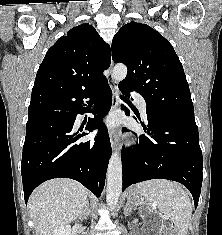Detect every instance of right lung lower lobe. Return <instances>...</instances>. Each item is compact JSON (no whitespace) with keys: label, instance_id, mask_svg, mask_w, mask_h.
Returning a JSON list of instances; mask_svg holds the SVG:
<instances>
[{"label":"right lung lower lobe","instance_id":"1","mask_svg":"<svg viewBox=\"0 0 222 235\" xmlns=\"http://www.w3.org/2000/svg\"><path fill=\"white\" fill-rule=\"evenodd\" d=\"M84 98H90L87 107ZM111 99L112 91L105 79L92 89L58 102L51 116L56 124L26 134L21 166L26 204L38 185L61 177L77 180L97 197L101 195L112 153L108 131L103 125ZM91 104H94L91 110L94 118H89L77 130L76 115L86 112ZM96 128L99 131L93 139L80 141L87 135L83 129Z\"/></svg>","mask_w":222,"mask_h":235}]
</instances>
